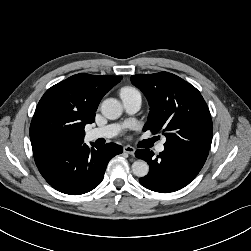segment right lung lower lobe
<instances>
[{
	"mask_svg": "<svg viewBox=\"0 0 251 251\" xmlns=\"http://www.w3.org/2000/svg\"><path fill=\"white\" fill-rule=\"evenodd\" d=\"M67 144L33 150L35 163L44 179L56 190L70 195L84 194L97 187L108 162L122 153L114 143Z\"/></svg>",
	"mask_w": 251,
	"mask_h": 251,
	"instance_id": "right-lung-lower-lobe-1",
	"label": "right lung lower lobe"
}]
</instances>
